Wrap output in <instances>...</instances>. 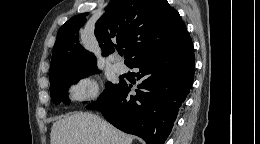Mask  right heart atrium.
Returning a JSON list of instances; mask_svg holds the SVG:
<instances>
[{"label":"right heart atrium","mask_w":260,"mask_h":144,"mask_svg":"<svg viewBox=\"0 0 260 144\" xmlns=\"http://www.w3.org/2000/svg\"><path fill=\"white\" fill-rule=\"evenodd\" d=\"M98 91L97 81L92 77H84L74 82L68 92L73 99L84 101L95 98Z\"/></svg>","instance_id":"obj_1"}]
</instances>
